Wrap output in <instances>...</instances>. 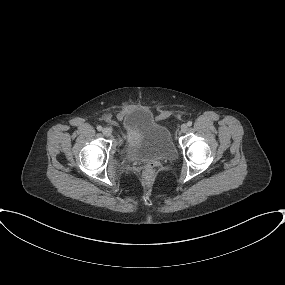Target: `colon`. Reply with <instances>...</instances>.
I'll use <instances>...</instances> for the list:
<instances>
[{
    "mask_svg": "<svg viewBox=\"0 0 285 285\" xmlns=\"http://www.w3.org/2000/svg\"><path fill=\"white\" fill-rule=\"evenodd\" d=\"M148 172L151 173V169H149Z\"/></svg>",
    "mask_w": 285,
    "mask_h": 285,
    "instance_id": "obj_1",
    "label": "colon"
}]
</instances>
